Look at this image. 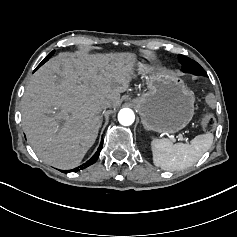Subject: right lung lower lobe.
<instances>
[{"label": "right lung lower lobe", "mask_w": 237, "mask_h": 237, "mask_svg": "<svg viewBox=\"0 0 237 237\" xmlns=\"http://www.w3.org/2000/svg\"><path fill=\"white\" fill-rule=\"evenodd\" d=\"M102 145H103V140L101 141L100 146H99L97 152L93 155V157H92L90 160H88L86 163L82 164L80 167L74 168L73 170H70V171H69V170H67V171L61 170V172H63V173L77 172V171H79V170L85 169V168H87L88 166L92 165V164L95 163L96 160L98 159L99 154H100V151H101V149H102Z\"/></svg>", "instance_id": "1"}]
</instances>
